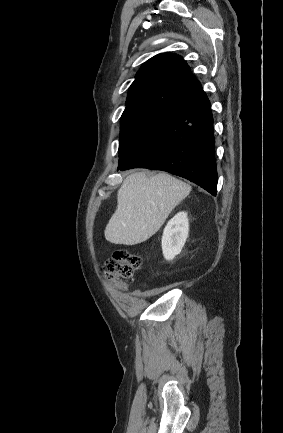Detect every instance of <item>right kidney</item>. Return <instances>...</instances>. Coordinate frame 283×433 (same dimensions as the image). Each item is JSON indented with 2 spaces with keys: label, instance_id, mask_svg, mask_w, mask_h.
Listing matches in <instances>:
<instances>
[{
  "label": "right kidney",
  "instance_id": "obj_1",
  "mask_svg": "<svg viewBox=\"0 0 283 433\" xmlns=\"http://www.w3.org/2000/svg\"><path fill=\"white\" fill-rule=\"evenodd\" d=\"M188 233L189 221L186 212H179L169 220L162 236V251L167 261H172L181 253Z\"/></svg>",
  "mask_w": 283,
  "mask_h": 433
}]
</instances>
